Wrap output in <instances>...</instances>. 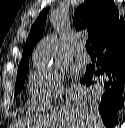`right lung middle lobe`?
Returning a JSON list of instances; mask_svg holds the SVG:
<instances>
[{"label":"right lung middle lobe","mask_w":125,"mask_h":128,"mask_svg":"<svg viewBox=\"0 0 125 128\" xmlns=\"http://www.w3.org/2000/svg\"><path fill=\"white\" fill-rule=\"evenodd\" d=\"M28 70L29 68H26L17 73V80H16V87H15L16 94L19 93L20 90L23 88Z\"/></svg>","instance_id":"right-lung-middle-lobe-1"}]
</instances>
